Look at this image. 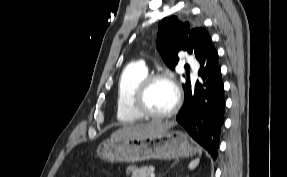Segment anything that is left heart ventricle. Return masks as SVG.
<instances>
[{"label":"left heart ventricle","mask_w":287,"mask_h":177,"mask_svg":"<svg viewBox=\"0 0 287 177\" xmlns=\"http://www.w3.org/2000/svg\"><path fill=\"white\" fill-rule=\"evenodd\" d=\"M175 102L173 87L166 81L152 84L145 98V106L154 113H163L172 108Z\"/></svg>","instance_id":"obj_1"}]
</instances>
